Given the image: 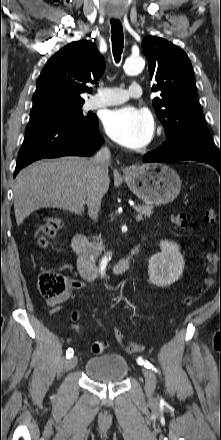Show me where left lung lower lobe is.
I'll return each mask as SVG.
<instances>
[{"instance_id":"1","label":"left lung lower lobe","mask_w":221,"mask_h":440,"mask_svg":"<svg viewBox=\"0 0 221 440\" xmlns=\"http://www.w3.org/2000/svg\"><path fill=\"white\" fill-rule=\"evenodd\" d=\"M177 160H195L213 166L221 175V157H212L203 154L180 153L168 148L165 142L157 149L143 156V162H164Z\"/></svg>"}]
</instances>
